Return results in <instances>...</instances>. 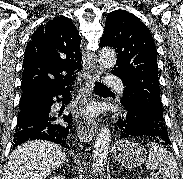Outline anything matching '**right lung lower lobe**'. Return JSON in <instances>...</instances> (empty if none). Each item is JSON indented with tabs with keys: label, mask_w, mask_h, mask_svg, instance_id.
Wrapping results in <instances>:
<instances>
[{
	"label": "right lung lower lobe",
	"mask_w": 183,
	"mask_h": 179,
	"mask_svg": "<svg viewBox=\"0 0 183 179\" xmlns=\"http://www.w3.org/2000/svg\"><path fill=\"white\" fill-rule=\"evenodd\" d=\"M69 88H38L25 96L27 102L18 113L13 148L28 140L42 139L57 143L68 148V134L73 121L71 116L63 115L66 124L57 122L60 115L50 112L54 103L53 97L63 95L64 102L71 100ZM60 101L59 98H57Z\"/></svg>",
	"instance_id": "obj_1"
}]
</instances>
